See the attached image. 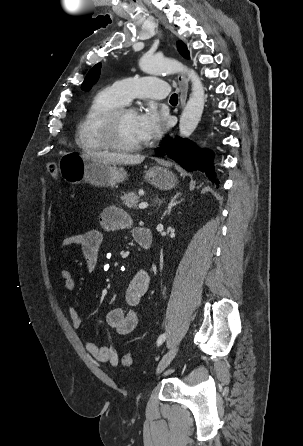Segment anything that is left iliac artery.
Segmentation results:
<instances>
[{"mask_svg": "<svg viewBox=\"0 0 303 446\" xmlns=\"http://www.w3.org/2000/svg\"><path fill=\"white\" fill-rule=\"evenodd\" d=\"M166 339V334H161L157 339V345L160 346Z\"/></svg>", "mask_w": 303, "mask_h": 446, "instance_id": "obj_1", "label": "left iliac artery"}]
</instances>
